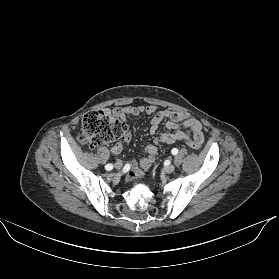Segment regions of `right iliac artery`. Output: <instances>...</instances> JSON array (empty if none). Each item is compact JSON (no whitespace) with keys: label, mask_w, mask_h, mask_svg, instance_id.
Segmentation results:
<instances>
[{"label":"right iliac artery","mask_w":279,"mask_h":279,"mask_svg":"<svg viewBox=\"0 0 279 279\" xmlns=\"http://www.w3.org/2000/svg\"><path fill=\"white\" fill-rule=\"evenodd\" d=\"M105 169L110 171V170L113 169V165L112 164H107V165H105Z\"/></svg>","instance_id":"obj_1"}]
</instances>
